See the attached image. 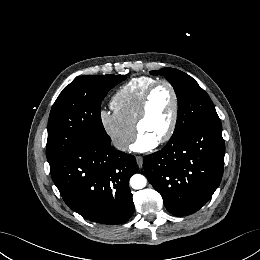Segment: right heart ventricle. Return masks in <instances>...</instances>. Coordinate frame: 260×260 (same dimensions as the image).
Wrapping results in <instances>:
<instances>
[{"label":"right heart ventricle","mask_w":260,"mask_h":260,"mask_svg":"<svg viewBox=\"0 0 260 260\" xmlns=\"http://www.w3.org/2000/svg\"><path fill=\"white\" fill-rule=\"evenodd\" d=\"M157 79L141 76L131 79L111 98V106L122 118L135 125L142 98Z\"/></svg>","instance_id":"right-heart-ventricle-1"}]
</instances>
